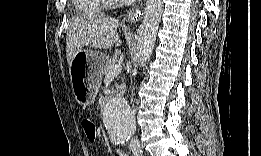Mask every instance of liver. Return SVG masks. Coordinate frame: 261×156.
<instances>
[{"mask_svg": "<svg viewBox=\"0 0 261 156\" xmlns=\"http://www.w3.org/2000/svg\"><path fill=\"white\" fill-rule=\"evenodd\" d=\"M118 21L105 15L73 17L68 21L66 34V57L69 67L76 53L84 47L110 49L120 46L116 32Z\"/></svg>", "mask_w": 261, "mask_h": 156, "instance_id": "liver-1", "label": "liver"}]
</instances>
